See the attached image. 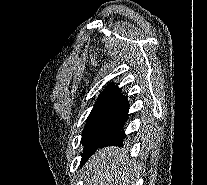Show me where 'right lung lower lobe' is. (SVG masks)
<instances>
[{
  "instance_id": "right-lung-lower-lobe-1",
  "label": "right lung lower lobe",
  "mask_w": 207,
  "mask_h": 185,
  "mask_svg": "<svg viewBox=\"0 0 207 185\" xmlns=\"http://www.w3.org/2000/svg\"><path fill=\"white\" fill-rule=\"evenodd\" d=\"M127 118L128 114L126 112L121 120L99 141L98 148L122 144V141L126 136L123 127Z\"/></svg>"
}]
</instances>
